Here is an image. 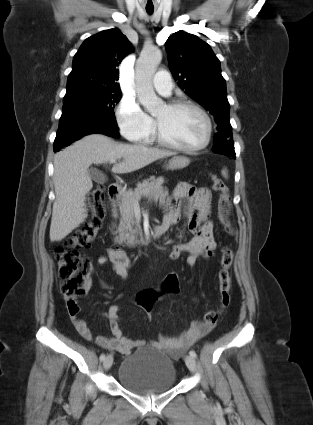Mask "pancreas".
<instances>
[{
  "label": "pancreas",
  "instance_id": "cf45deb5",
  "mask_svg": "<svg viewBox=\"0 0 313 425\" xmlns=\"http://www.w3.org/2000/svg\"><path fill=\"white\" fill-rule=\"evenodd\" d=\"M163 179L150 177L142 183H138L134 190L123 191L121 194L119 209L121 214L120 223L117 229L118 236L116 242L123 246L133 247L138 244V236L142 234L139 222L135 218L134 207L142 197L149 201L159 202L164 206L169 199L167 188L163 187Z\"/></svg>",
  "mask_w": 313,
  "mask_h": 425
}]
</instances>
